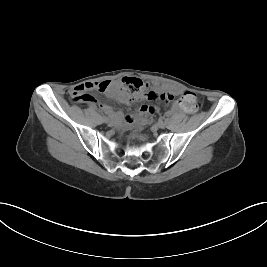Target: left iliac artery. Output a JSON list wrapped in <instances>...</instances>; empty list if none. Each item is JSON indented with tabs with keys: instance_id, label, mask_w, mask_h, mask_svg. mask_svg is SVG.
<instances>
[{
	"instance_id": "obj_1",
	"label": "left iliac artery",
	"mask_w": 267,
	"mask_h": 267,
	"mask_svg": "<svg viewBox=\"0 0 267 267\" xmlns=\"http://www.w3.org/2000/svg\"><path fill=\"white\" fill-rule=\"evenodd\" d=\"M165 123H168L169 122V118H163L162 119Z\"/></svg>"
}]
</instances>
